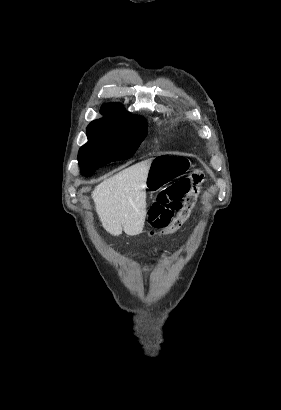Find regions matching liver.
Returning a JSON list of instances; mask_svg holds the SVG:
<instances>
[{"label": "liver", "instance_id": "liver-1", "mask_svg": "<svg viewBox=\"0 0 281 410\" xmlns=\"http://www.w3.org/2000/svg\"><path fill=\"white\" fill-rule=\"evenodd\" d=\"M152 159L136 163L95 187L92 199L103 228L119 236L122 230L142 233L146 218V180Z\"/></svg>", "mask_w": 281, "mask_h": 410}]
</instances>
